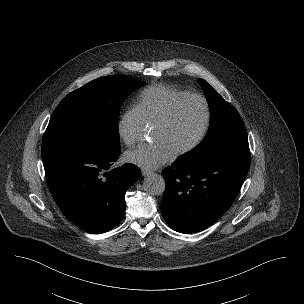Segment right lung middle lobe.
<instances>
[{"instance_id":"obj_1","label":"right lung middle lobe","mask_w":304,"mask_h":304,"mask_svg":"<svg viewBox=\"0 0 304 304\" xmlns=\"http://www.w3.org/2000/svg\"><path fill=\"white\" fill-rule=\"evenodd\" d=\"M145 84L125 75H111L68 94L51 116L43 136L42 153L67 148L120 152L119 108L132 91Z\"/></svg>"}]
</instances>
